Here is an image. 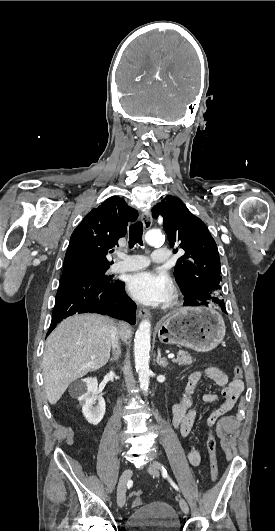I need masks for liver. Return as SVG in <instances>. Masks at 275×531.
<instances>
[{
  "label": "liver",
  "instance_id": "liver-1",
  "mask_svg": "<svg viewBox=\"0 0 275 531\" xmlns=\"http://www.w3.org/2000/svg\"><path fill=\"white\" fill-rule=\"evenodd\" d=\"M115 323L102 315H74L49 335L42 361L44 389L50 405H56L69 385L108 363ZM121 339L131 337L130 325L120 321ZM96 357V359H91Z\"/></svg>",
  "mask_w": 275,
  "mask_h": 531
}]
</instances>
